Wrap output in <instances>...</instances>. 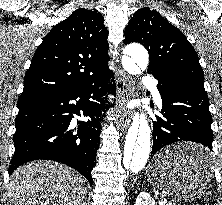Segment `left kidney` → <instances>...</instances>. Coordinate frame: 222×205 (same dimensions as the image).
I'll use <instances>...</instances> for the list:
<instances>
[{
    "mask_svg": "<svg viewBox=\"0 0 222 205\" xmlns=\"http://www.w3.org/2000/svg\"><path fill=\"white\" fill-rule=\"evenodd\" d=\"M135 205H156L153 198L147 192H141L137 199Z\"/></svg>",
    "mask_w": 222,
    "mask_h": 205,
    "instance_id": "obj_1",
    "label": "left kidney"
}]
</instances>
